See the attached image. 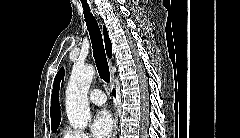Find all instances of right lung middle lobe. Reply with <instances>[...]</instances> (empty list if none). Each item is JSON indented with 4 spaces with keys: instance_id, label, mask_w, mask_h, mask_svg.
<instances>
[{
    "instance_id": "obj_1",
    "label": "right lung middle lobe",
    "mask_w": 240,
    "mask_h": 138,
    "mask_svg": "<svg viewBox=\"0 0 240 138\" xmlns=\"http://www.w3.org/2000/svg\"><path fill=\"white\" fill-rule=\"evenodd\" d=\"M59 125L52 126V131H56Z\"/></svg>"
}]
</instances>
